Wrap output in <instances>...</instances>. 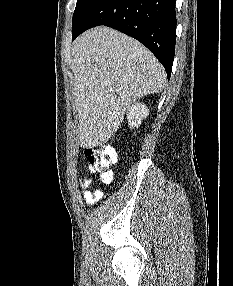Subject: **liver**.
Segmentation results:
<instances>
[{"label":"liver","instance_id":"obj_1","mask_svg":"<svg viewBox=\"0 0 233 286\" xmlns=\"http://www.w3.org/2000/svg\"><path fill=\"white\" fill-rule=\"evenodd\" d=\"M72 55L77 138L84 148L106 143L131 105L161 92L166 83L164 68L146 47L108 27L81 35Z\"/></svg>","mask_w":233,"mask_h":286}]
</instances>
